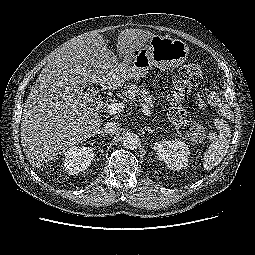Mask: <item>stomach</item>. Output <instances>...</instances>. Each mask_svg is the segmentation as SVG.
I'll list each match as a JSON object with an SVG mask.
<instances>
[{"instance_id": "1", "label": "stomach", "mask_w": 255, "mask_h": 255, "mask_svg": "<svg viewBox=\"0 0 255 255\" xmlns=\"http://www.w3.org/2000/svg\"><path fill=\"white\" fill-rule=\"evenodd\" d=\"M188 45L169 36L154 35L142 47L130 53L129 64L112 81L113 86H121L126 81L143 77L152 66L160 70H173L188 58Z\"/></svg>"}]
</instances>
